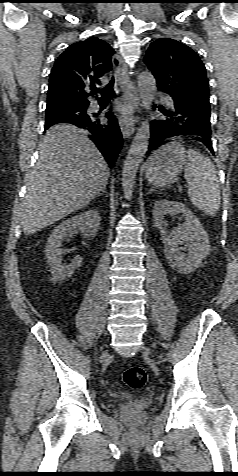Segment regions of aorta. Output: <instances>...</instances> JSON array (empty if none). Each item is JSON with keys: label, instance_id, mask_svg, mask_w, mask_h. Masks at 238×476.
<instances>
[{"label": "aorta", "instance_id": "762f6f07", "mask_svg": "<svg viewBox=\"0 0 238 476\" xmlns=\"http://www.w3.org/2000/svg\"><path fill=\"white\" fill-rule=\"evenodd\" d=\"M137 79L142 105L145 107V109L149 110L154 100L157 89L156 80L154 76L149 72L140 73ZM149 139L150 124L149 121L146 119L141 123L140 127L137 130V133L133 139L122 170L121 181L124 198L126 200L132 199L136 173L148 149Z\"/></svg>", "mask_w": 238, "mask_h": 476}]
</instances>
